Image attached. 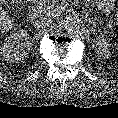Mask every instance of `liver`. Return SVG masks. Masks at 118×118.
<instances>
[{"label": "liver", "instance_id": "liver-1", "mask_svg": "<svg viewBox=\"0 0 118 118\" xmlns=\"http://www.w3.org/2000/svg\"><path fill=\"white\" fill-rule=\"evenodd\" d=\"M14 20L7 11L0 7V33H7L10 29H15Z\"/></svg>", "mask_w": 118, "mask_h": 118}]
</instances>
